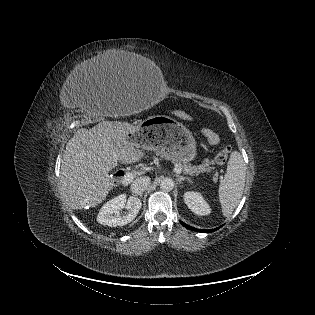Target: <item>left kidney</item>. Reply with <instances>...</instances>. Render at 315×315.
Segmentation results:
<instances>
[{
  "label": "left kidney",
  "instance_id": "left-kidney-1",
  "mask_svg": "<svg viewBox=\"0 0 315 315\" xmlns=\"http://www.w3.org/2000/svg\"><path fill=\"white\" fill-rule=\"evenodd\" d=\"M184 201L188 208L196 215L205 216L211 212L210 206L198 192H186L184 194Z\"/></svg>",
  "mask_w": 315,
  "mask_h": 315
}]
</instances>
